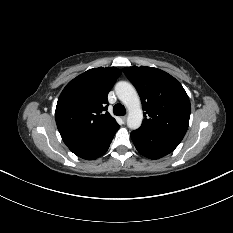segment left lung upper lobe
Returning a JSON list of instances; mask_svg holds the SVG:
<instances>
[{
    "instance_id": "5c2ea615",
    "label": "left lung upper lobe",
    "mask_w": 233,
    "mask_h": 233,
    "mask_svg": "<svg viewBox=\"0 0 233 233\" xmlns=\"http://www.w3.org/2000/svg\"><path fill=\"white\" fill-rule=\"evenodd\" d=\"M123 72L136 87L146 111L140 128L183 139L189 125L190 101L182 85L153 67H126Z\"/></svg>"
}]
</instances>
